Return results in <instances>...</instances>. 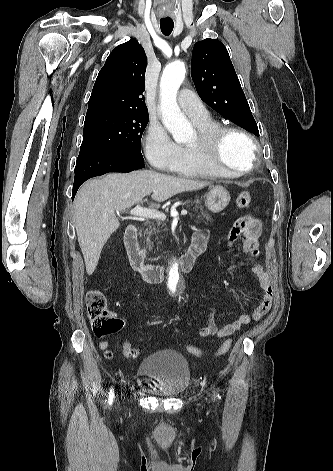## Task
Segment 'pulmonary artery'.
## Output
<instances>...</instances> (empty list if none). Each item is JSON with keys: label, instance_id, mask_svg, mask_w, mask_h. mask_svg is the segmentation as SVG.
<instances>
[{"label": "pulmonary artery", "instance_id": "obj_1", "mask_svg": "<svg viewBox=\"0 0 333 471\" xmlns=\"http://www.w3.org/2000/svg\"><path fill=\"white\" fill-rule=\"evenodd\" d=\"M178 103L181 109L193 120H201L208 116V112L201 100L190 90H181L178 96Z\"/></svg>", "mask_w": 333, "mask_h": 471}]
</instances>
